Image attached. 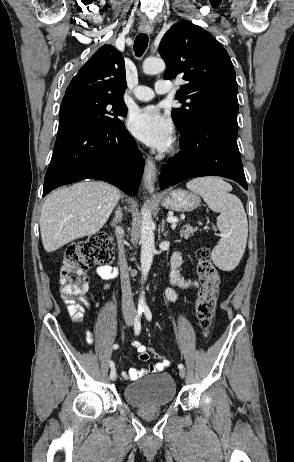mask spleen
I'll use <instances>...</instances> for the list:
<instances>
[{"instance_id": "1", "label": "spleen", "mask_w": 294, "mask_h": 462, "mask_svg": "<svg viewBox=\"0 0 294 462\" xmlns=\"http://www.w3.org/2000/svg\"><path fill=\"white\" fill-rule=\"evenodd\" d=\"M186 187L199 194L210 209L220 213L217 226L222 237L211 256L221 270H233L244 254L248 237V222L241 200L229 193L232 186L219 177L196 178Z\"/></svg>"}]
</instances>
